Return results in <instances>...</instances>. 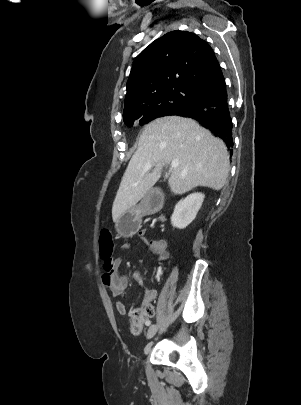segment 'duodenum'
<instances>
[{
  "label": "duodenum",
  "mask_w": 301,
  "mask_h": 405,
  "mask_svg": "<svg viewBox=\"0 0 301 405\" xmlns=\"http://www.w3.org/2000/svg\"><path fill=\"white\" fill-rule=\"evenodd\" d=\"M143 195L140 206L142 219L150 218L151 213H161L162 208L166 207L164 190H145Z\"/></svg>",
  "instance_id": "obj_1"
}]
</instances>
